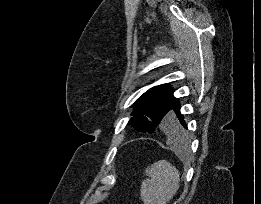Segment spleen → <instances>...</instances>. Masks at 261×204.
I'll use <instances>...</instances> for the list:
<instances>
[{
	"mask_svg": "<svg viewBox=\"0 0 261 204\" xmlns=\"http://www.w3.org/2000/svg\"><path fill=\"white\" fill-rule=\"evenodd\" d=\"M180 152L186 153L188 142L185 137L173 140ZM148 177L142 181L140 195L144 204H167L179 189V171L166 160H160L145 169Z\"/></svg>",
	"mask_w": 261,
	"mask_h": 204,
	"instance_id": "3e777b00",
	"label": "spleen"
}]
</instances>
